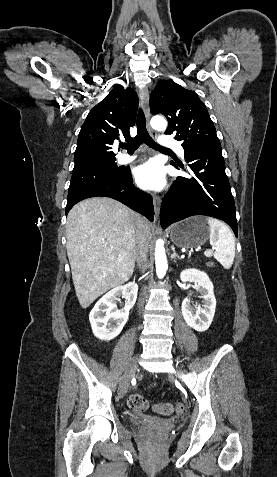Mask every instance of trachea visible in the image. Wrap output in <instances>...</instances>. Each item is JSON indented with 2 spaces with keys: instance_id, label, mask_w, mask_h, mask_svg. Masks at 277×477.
I'll return each mask as SVG.
<instances>
[{
  "instance_id": "obj_1",
  "label": "trachea",
  "mask_w": 277,
  "mask_h": 477,
  "mask_svg": "<svg viewBox=\"0 0 277 477\" xmlns=\"http://www.w3.org/2000/svg\"><path fill=\"white\" fill-rule=\"evenodd\" d=\"M142 143H145L155 150L171 152L170 149L160 146L150 137L146 129L144 113L142 109H140L137 117V135L130 142L121 144L120 147L126 149L128 153H133Z\"/></svg>"
}]
</instances>
